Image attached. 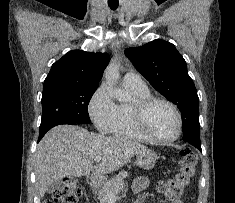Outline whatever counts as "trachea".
I'll return each instance as SVG.
<instances>
[{"label": "trachea", "mask_w": 235, "mask_h": 203, "mask_svg": "<svg viewBox=\"0 0 235 203\" xmlns=\"http://www.w3.org/2000/svg\"><path fill=\"white\" fill-rule=\"evenodd\" d=\"M109 7L112 9V10H116L117 7H118V4H109Z\"/></svg>", "instance_id": "1"}]
</instances>
